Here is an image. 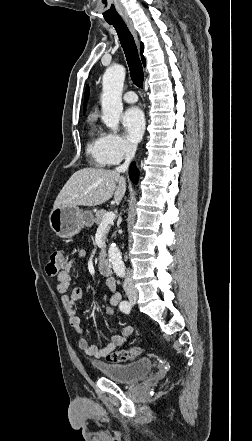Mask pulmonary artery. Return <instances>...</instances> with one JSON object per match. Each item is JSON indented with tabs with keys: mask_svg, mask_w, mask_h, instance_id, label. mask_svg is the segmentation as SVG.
I'll list each match as a JSON object with an SVG mask.
<instances>
[{
	"mask_svg": "<svg viewBox=\"0 0 252 441\" xmlns=\"http://www.w3.org/2000/svg\"><path fill=\"white\" fill-rule=\"evenodd\" d=\"M123 100L127 103H135L138 100V97L135 92L128 91L123 95Z\"/></svg>",
	"mask_w": 252,
	"mask_h": 441,
	"instance_id": "e3ab8cb5",
	"label": "pulmonary artery"
}]
</instances>
